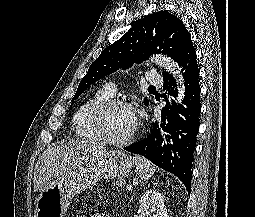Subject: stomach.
Listing matches in <instances>:
<instances>
[{"mask_svg":"<svg viewBox=\"0 0 255 217\" xmlns=\"http://www.w3.org/2000/svg\"><path fill=\"white\" fill-rule=\"evenodd\" d=\"M133 166L131 157L121 150L107 151L104 156L87 164L59 184L43 190L36 199L35 217H64L72 197L98 181L123 179Z\"/></svg>","mask_w":255,"mask_h":217,"instance_id":"stomach-1","label":"stomach"}]
</instances>
